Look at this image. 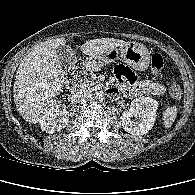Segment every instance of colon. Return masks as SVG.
<instances>
[{
    "label": "colon",
    "instance_id": "1",
    "mask_svg": "<svg viewBox=\"0 0 195 195\" xmlns=\"http://www.w3.org/2000/svg\"><path fill=\"white\" fill-rule=\"evenodd\" d=\"M164 68V60L163 57L158 54L154 53L151 56V70L152 72L159 76L161 75ZM84 75V65L81 62H76L70 69L68 73V81L74 82L80 78H82ZM169 95L172 99L178 100L181 98L182 90L179 84L172 83L169 87Z\"/></svg>",
    "mask_w": 195,
    "mask_h": 195
}]
</instances>
